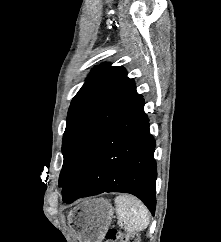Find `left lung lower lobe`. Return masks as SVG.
I'll return each instance as SVG.
<instances>
[{
	"mask_svg": "<svg viewBox=\"0 0 221 242\" xmlns=\"http://www.w3.org/2000/svg\"><path fill=\"white\" fill-rule=\"evenodd\" d=\"M144 99L96 142L63 193V202L103 192L137 196L154 215L157 177L155 140L144 113Z\"/></svg>",
	"mask_w": 221,
	"mask_h": 242,
	"instance_id": "left-lung-lower-lobe-1",
	"label": "left lung lower lobe"
}]
</instances>
